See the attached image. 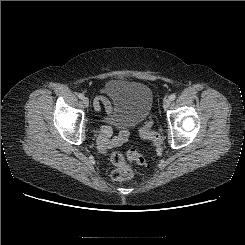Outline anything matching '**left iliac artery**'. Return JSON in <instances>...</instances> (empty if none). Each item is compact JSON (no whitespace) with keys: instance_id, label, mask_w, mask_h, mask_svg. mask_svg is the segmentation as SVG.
I'll return each instance as SVG.
<instances>
[{"instance_id":"obj_1","label":"left iliac artery","mask_w":245,"mask_h":245,"mask_svg":"<svg viewBox=\"0 0 245 245\" xmlns=\"http://www.w3.org/2000/svg\"><path fill=\"white\" fill-rule=\"evenodd\" d=\"M169 99H170L171 101L175 100V99H176V95H175V94L170 95V96H169Z\"/></svg>"}]
</instances>
